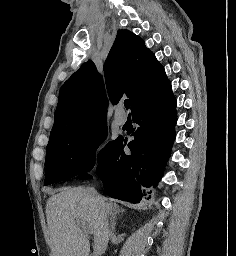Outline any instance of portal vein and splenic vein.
Returning a JSON list of instances; mask_svg holds the SVG:
<instances>
[{
	"label": "portal vein and splenic vein",
	"mask_w": 236,
	"mask_h": 256,
	"mask_svg": "<svg viewBox=\"0 0 236 256\" xmlns=\"http://www.w3.org/2000/svg\"><path fill=\"white\" fill-rule=\"evenodd\" d=\"M76 224L79 228H84V234H90V228H88L87 224H85L83 220H76Z\"/></svg>",
	"instance_id": "1"
}]
</instances>
